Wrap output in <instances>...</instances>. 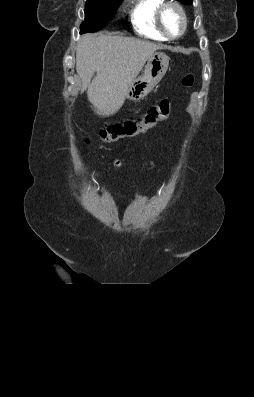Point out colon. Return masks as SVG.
Wrapping results in <instances>:
<instances>
[{"instance_id": "1", "label": "colon", "mask_w": 254, "mask_h": 397, "mask_svg": "<svg viewBox=\"0 0 254 397\" xmlns=\"http://www.w3.org/2000/svg\"><path fill=\"white\" fill-rule=\"evenodd\" d=\"M195 78L192 74L184 76L182 83L185 87H191ZM172 103L168 99H162L153 105L140 120H129L123 123L111 124L99 133L100 139L105 143L117 141L122 138H133L155 127L160 121L169 116Z\"/></svg>"}]
</instances>
